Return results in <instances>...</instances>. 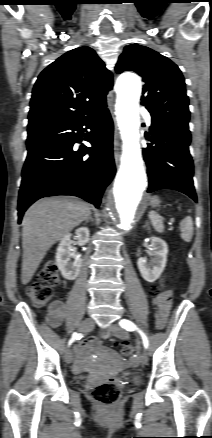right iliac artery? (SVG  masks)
<instances>
[{
	"mask_svg": "<svg viewBox=\"0 0 212 438\" xmlns=\"http://www.w3.org/2000/svg\"><path fill=\"white\" fill-rule=\"evenodd\" d=\"M82 337H83V335L80 334V333H76V332L73 333V334H72V337H71V339H70V341H69V345H71L73 341H75V340H79V339H81Z\"/></svg>",
	"mask_w": 212,
	"mask_h": 438,
	"instance_id": "1",
	"label": "right iliac artery"
}]
</instances>
